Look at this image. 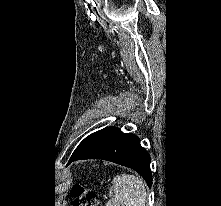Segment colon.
Masks as SVG:
<instances>
[{
  "label": "colon",
  "mask_w": 221,
  "mask_h": 206,
  "mask_svg": "<svg viewBox=\"0 0 221 206\" xmlns=\"http://www.w3.org/2000/svg\"><path fill=\"white\" fill-rule=\"evenodd\" d=\"M73 206H99L100 199L96 193L76 185L72 189Z\"/></svg>",
  "instance_id": "colon-1"
}]
</instances>
